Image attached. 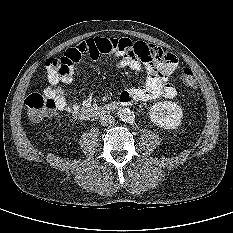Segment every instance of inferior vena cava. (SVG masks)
<instances>
[{
    "label": "inferior vena cava",
    "instance_id": "inferior-vena-cava-1",
    "mask_svg": "<svg viewBox=\"0 0 233 233\" xmlns=\"http://www.w3.org/2000/svg\"><path fill=\"white\" fill-rule=\"evenodd\" d=\"M115 122V119L112 115H103L101 118H100V124L102 126H108V125H111V124H114Z\"/></svg>",
    "mask_w": 233,
    "mask_h": 233
}]
</instances>
